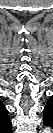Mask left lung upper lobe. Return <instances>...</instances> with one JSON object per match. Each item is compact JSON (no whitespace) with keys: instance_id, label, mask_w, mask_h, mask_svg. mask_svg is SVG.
<instances>
[{"instance_id":"5c2ea615","label":"left lung upper lobe","mask_w":53,"mask_h":133,"mask_svg":"<svg viewBox=\"0 0 53 133\" xmlns=\"http://www.w3.org/2000/svg\"><path fill=\"white\" fill-rule=\"evenodd\" d=\"M43 112H44V124L51 125V122L53 119V101H52V98L49 99Z\"/></svg>"}]
</instances>
